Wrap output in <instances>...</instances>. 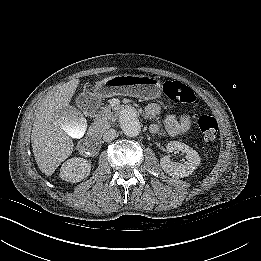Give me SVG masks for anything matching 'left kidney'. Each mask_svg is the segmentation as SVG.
Returning a JSON list of instances; mask_svg holds the SVG:
<instances>
[{
  "instance_id": "left-kidney-1",
  "label": "left kidney",
  "mask_w": 261,
  "mask_h": 261,
  "mask_svg": "<svg viewBox=\"0 0 261 261\" xmlns=\"http://www.w3.org/2000/svg\"><path fill=\"white\" fill-rule=\"evenodd\" d=\"M168 152H182L186 154V161L179 163L173 162L169 156H164L160 160L162 169L172 177H187L193 173V171L200 164V156L198 153L188 145L178 142L171 141L167 144Z\"/></svg>"
}]
</instances>
